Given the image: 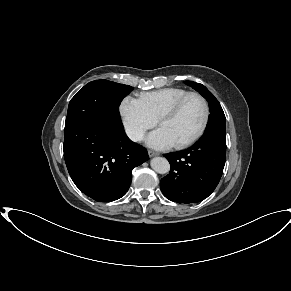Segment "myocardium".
Instances as JSON below:
<instances>
[{"mask_svg": "<svg viewBox=\"0 0 291 291\" xmlns=\"http://www.w3.org/2000/svg\"><path fill=\"white\" fill-rule=\"evenodd\" d=\"M190 97H198L203 102V105H204V119H203L202 125L199 128V130L191 138H189L188 140H185L183 142L174 144V147L177 148V149H184V148H187V147L193 145L205 133V131L207 129V126H208V123H209V119H210V106H209V103L206 100V98L204 96H202L201 94L197 93V92H189L188 94H186L185 96L180 98L175 104H173L163 114H161L160 117L157 119V125L160 126V124L163 121L174 118L178 114V112L180 111V109L182 108L184 103Z\"/></svg>", "mask_w": 291, "mask_h": 291, "instance_id": "f54148a6", "label": "myocardium"}]
</instances>
